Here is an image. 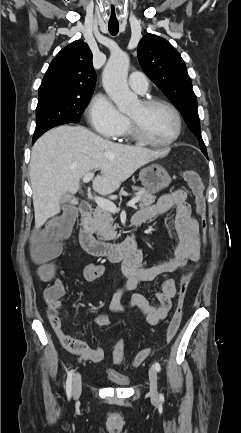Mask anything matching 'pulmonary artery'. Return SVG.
<instances>
[{
  "instance_id": "e3ab8cb5",
  "label": "pulmonary artery",
  "mask_w": 241,
  "mask_h": 433,
  "mask_svg": "<svg viewBox=\"0 0 241 433\" xmlns=\"http://www.w3.org/2000/svg\"><path fill=\"white\" fill-rule=\"evenodd\" d=\"M130 87L139 94H145L148 91V80L141 72H133L129 77Z\"/></svg>"
}]
</instances>
